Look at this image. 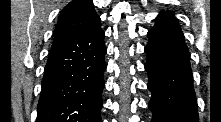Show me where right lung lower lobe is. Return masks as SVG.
I'll return each instance as SVG.
<instances>
[{
  "label": "right lung lower lobe",
  "instance_id": "98d812e1",
  "mask_svg": "<svg viewBox=\"0 0 221 122\" xmlns=\"http://www.w3.org/2000/svg\"><path fill=\"white\" fill-rule=\"evenodd\" d=\"M104 36L99 22L51 48L36 122H101Z\"/></svg>",
  "mask_w": 221,
  "mask_h": 122
}]
</instances>
